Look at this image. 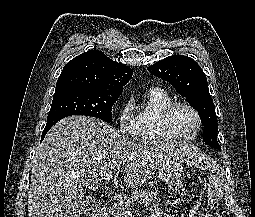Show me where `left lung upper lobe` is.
<instances>
[{
  "instance_id": "left-lung-upper-lobe-1",
  "label": "left lung upper lobe",
  "mask_w": 255,
  "mask_h": 217,
  "mask_svg": "<svg viewBox=\"0 0 255 217\" xmlns=\"http://www.w3.org/2000/svg\"><path fill=\"white\" fill-rule=\"evenodd\" d=\"M148 71L169 82L193 106L204 124L203 142L221 150L217 141V117L206 75L192 58L173 55L148 67Z\"/></svg>"
}]
</instances>
